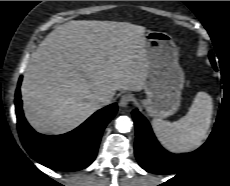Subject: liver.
<instances>
[{
  "label": "liver",
  "mask_w": 230,
  "mask_h": 186,
  "mask_svg": "<svg viewBox=\"0 0 230 186\" xmlns=\"http://www.w3.org/2000/svg\"><path fill=\"white\" fill-rule=\"evenodd\" d=\"M145 28L128 22L69 21L32 54L21 85L26 119L39 133L69 132L117 90L141 91L146 80Z\"/></svg>",
  "instance_id": "obj_1"
}]
</instances>
